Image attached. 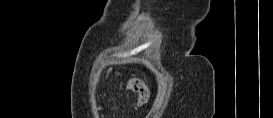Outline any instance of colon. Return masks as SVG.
Returning <instances> with one entry per match:
<instances>
[{"instance_id": "colon-1", "label": "colon", "mask_w": 273, "mask_h": 118, "mask_svg": "<svg viewBox=\"0 0 273 118\" xmlns=\"http://www.w3.org/2000/svg\"><path fill=\"white\" fill-rule=\"evenodd\" d=\"M127 86L128 89H130L137 95V107L141 108L145 106L148 102L149 93L144 81L140 78L132 77L128 80Z\"/></svg>"}]
</instances>
